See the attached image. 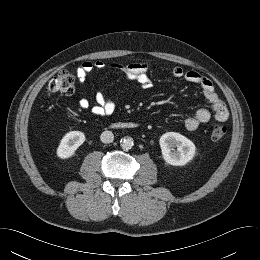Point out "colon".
<instances>
[{"instance_id": "colon-1", "label": "colon", "mask_w": 260, "mask_h": 260, "mask_svg": "<svg viewBox=\"0 0 260 260\" xmlns=\"http://www.w3.org/2000/svg\"><path fill=\"white\" fill-rule=\"evenodd\" d=\"M46 91L48 94L60 93L70 95L74 92V77L68 71H59L47 84ZM227 133L226 126L214 124L211 127V138L214 141L222 140Z\"/></svg>"}]
</instances>
